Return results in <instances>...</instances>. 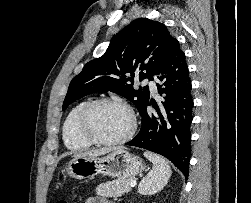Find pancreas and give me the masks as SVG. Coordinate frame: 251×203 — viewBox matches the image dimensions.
<instances>
[{
	"instance_id": "obj_1",
	"label": "pancreas",
	"mask_w": 251,
	"mask_h": 203,
	"mask_svg": "<svg viewBox=\"0 0 251 203\" xmlns=\"http://www.w3.org/2000/svg\"><path fill=\"white\" fill-rule=\"evenodd\" d=\"M132 179H117L113 181H107L105 183L100 184L96 188V192L98 195L103 197H113L117 198L122 196L125 193L130 192Z\"/></svg>"
}]
</instances>
